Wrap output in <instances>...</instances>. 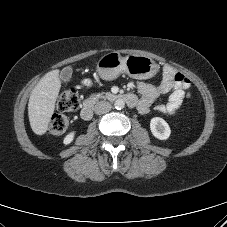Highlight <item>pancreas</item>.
I'll list each match as a JSON object with an SVG mask.
<instances>
[{
  "label": "pancreas",
  "instance_id": "obj_1",
  "mask_svg": "<svg viewBox=\"0 0 227 227\" xmlns=\"http://www.w3.org/2000/svg\"><path fill=\"white\" fill-rule=\"evenodd\" d=\"M101 97H102V94L98 93V94H93V95L91 96V99L96 100V99H99V98H101Z\"/></svg>",
  "mask_w": 227,
  "mask_h": 227
}]
</instances>
